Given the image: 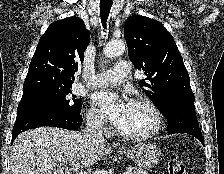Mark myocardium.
<instances>
[{"label":"myocardium","mask_w":224,"mask_h":174,"mask_svg":"<svg viewBox=\"0 0 224 174\" xmlns=\"http://www.w3.org/2000/svg\"><path fill=\"white\" fill-rule=\"evenodd\" d=\"M132 103L146 106L153 114L154 125L149 131L144 132V133L129 134V133H125L121 130H118V134L125 139L135 140V141L145 140V139L151 138V137L155 136L156 134H158V132L161 130L162 125H163V116H162L161 111L157 107V105L151 99H149L147 97H137V98L133 99Z\"/></svg>","instance_id":"f54148a6"}]
</instances>
